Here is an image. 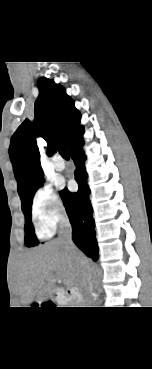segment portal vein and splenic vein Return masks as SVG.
Returning <instances> with one entry per match:
<instances>
[{
  "mask_svg": "<svg viewBox=\"0 0 152 369\" xmlns=\"http://www.w3.org/2000/svg\"><path fill=\"white\" fill-rule=\"evenodd\" d=\"M57 282H58V283H61V280H58Z\"/></svg>",
  "mask_w": 152,
  "mask_h": 369,
  "instance_id": "1",
  "label": "portal vein and splenic vein"
}]
</instances>
